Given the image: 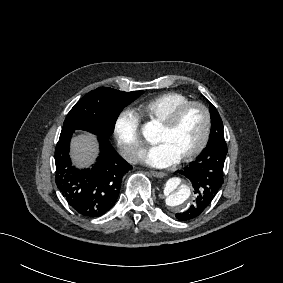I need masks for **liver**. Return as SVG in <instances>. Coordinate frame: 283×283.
I'll list each match as a JSON object with an SVG mask.
<instances>
[{
    "label": "liver",
    "instance_id": "liver-1",
    "mask_svg": "<svg viewBox=\"0 0 283 283\" xmlns=\"http://www.w3.org/2000/svg\"><path fill=\"white\" fill-rule=\"evenodd\" d=\"M99 145L95 135L83 133L71 140V158L78 168L89 167L98 156Z\"/></svg>",
    "mask_w": 283,
    "mask_h": 283
}]
</instances>
